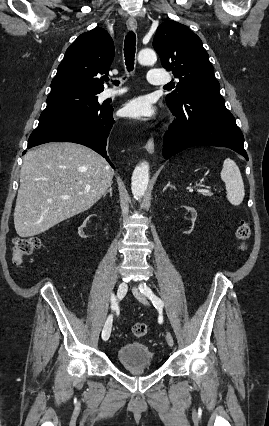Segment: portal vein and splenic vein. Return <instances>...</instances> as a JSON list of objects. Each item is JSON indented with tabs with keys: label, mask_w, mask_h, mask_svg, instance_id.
Here are the masks:
<instances>
[{
	"label": "portal vein and splenic vein",
	"mask_w": 269,
	"mask_h": 426,
	"mask_svg": "<svg viewBox=\"0 0 269 426\" xmlns=\"http://www.w3.org/2000/svg\"><path fill=\"white\" fill-rule=\"evenodd\" d=\"M199 192H210L209 190H205V189H201V190H198Z\"/></svg>",
	"instance_id": "obj_1"
}]
</instances>
